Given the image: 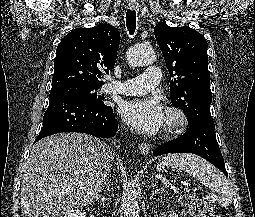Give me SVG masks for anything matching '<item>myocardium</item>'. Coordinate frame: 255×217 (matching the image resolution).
<instances>
[{"label":"myocardium","mask_w":255,"mask_h":217,"mask_svg":"<svg viewBox=\"0 0 255 217\" xmlns=\"http://www.w3.org/2000/svg\"><path fill=\"white\" fill-rule=\"evenodd\" d=\"M166 115L172 119L163 129V136L171 138L182 134L188 126V117L184 110L178 106H169Z\"/></svg>","instance_id":"f54148a6"}]
</instances>
